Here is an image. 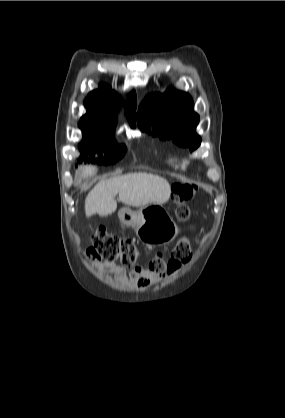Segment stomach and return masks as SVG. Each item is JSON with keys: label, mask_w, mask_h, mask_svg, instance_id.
I'll return each instance as SVG.
<instances>
[{"label": "stomach", "mask_w": 285, "mask_h": 418, "mask_svg": "<svg viewBox=\"0 0 285 418\" xmlns=\"http://www.w3.org/2000/svg\"><path fill=\"white\" fill-rule=\"evenodd\" d=\"M118 215L124 225L136 229L137 237L146 244L166 243L179 233L178 227L160 205H149L137 212L122 208Z\"/></svg>", "instance_id": "1"}]
</instances>
